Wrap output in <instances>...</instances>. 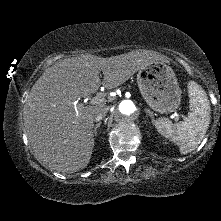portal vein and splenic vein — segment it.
<instances>
[{
  "instance_id": "1",
  "label": "portal vein and splenic vein",
  "mask_w": 221,
  "mask_h": 221,
  "mask_svg": "<svg viewBox=\"0 0 221 221\" xmlns=\"http://www.w3.org/2000/svg\"><path fill=\"white\" fill-rule=\"evenodd\" d=\"M105 101V98L102 94H98L97 96H95L93 99H91L90 103L91 104H100L103 103ZM75 104H77V102H75ZM174 117L176 118H184V115H180L178 113H174Z\"/></svg>"
}]
</instances>
